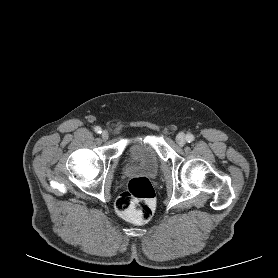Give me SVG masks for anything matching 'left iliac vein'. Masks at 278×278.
Listing matches in <instances>:
<instances>
[{
  "label": "left iliac vein",
  "instance_id": "4c4485c4",
  "mask_svg": "<svg viewBox=\"0 0 278 278\" xmlns=\"http://www.w3.org/2000/svg\"><path fill=\"white\" fill-rule=\"evenodd\" d=\"M176 142L179 146H183L186 142L185 140V135L183 133H179L177 136H176Z\"/></svg>",
  "mask_w": 278,
  "mask_h": 278
}]
</instances>
